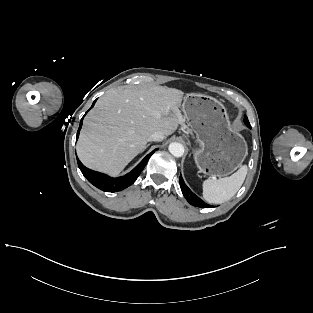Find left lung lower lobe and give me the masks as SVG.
<instances>
[{
  "label": "left lung lower lobe",
  "mask_w": 313,
  "mask_h": 313,
  "mask_svg": "<svg viewBox=\"0 0 313 313\" xmlns=\"http://www.w3.org/2000/svg\"><path fill=\"white\" fill-rule=\"evenodd\" d=\"M179 183L182 190V193L186 200L195 207L208 208L212 207L211 205L206 204L203 200H201L198 196H196L185 184L182 176L179 177Z\"/></svg>",
  "instance_id": "0a47b994"
}]
</instances>
